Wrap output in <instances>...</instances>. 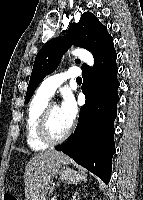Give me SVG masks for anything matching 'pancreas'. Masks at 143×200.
<instances>
[{
    "mask_svg": "<svg viewBox=\"0 0 143 200\" xmlns=\"http://www.w3.org/2000/svg\"><path fill=\"white\" fill-rule=\"evenodd\" d=\"M51 200H57V199L54 197V198H52Z\"/></svg>",
    "mask_w": 143,
    "mask_h": 200,
    "instance_id": "1",
    "label": "pancreas"
}]
</instances>
